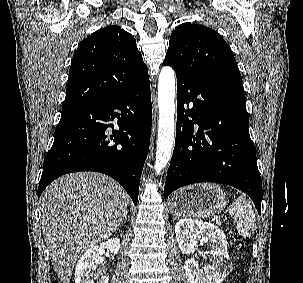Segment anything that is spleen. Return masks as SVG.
Instances as JSON below:
<instances>
[{
	"mask_svg": "<svg viewBox=\"0 0 303 283\" xmlns=\"http://www.w3.org/2000/svg\"><path fill=\"white\" fill-rule=\"evenodd\" d=\"M229 214L236 222V230L243 237L253 235L256 219L251 202L245 195H241L228 207Z\"/></svg>",
	"mask_w": 303,
	"mask_h": 283,
	"instance_id": "1",
	"label": "spleen"
}]
</instances>
